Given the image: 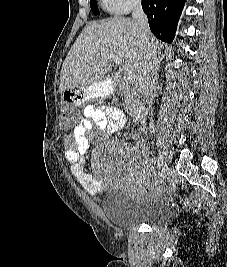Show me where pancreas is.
Listing matches in <instances>:
<instances>
[{"label": "pancreas", "instance_id": "1", "mask_svg": "<svg viewBox=\"0 0 227 267\" xmlns=\"http://www.w3.org/2000/svg\"><path fill=\"white\" fill-rule=\"evenodd\" d=\"M125 87L126 91L124 95V107L129 111H133L137 105L138 94L135 90L130 89L127 84L125 85Z\"/></svg>", "mask_w": 227, "mask_h": 267}]
</instances>
